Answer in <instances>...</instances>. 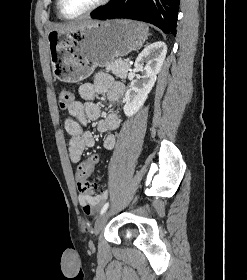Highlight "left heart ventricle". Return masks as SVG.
<instances>
[{"label":"left heart ventricle","mask_w":247,"mask_h":280,"mask_svg":"<svg viewBox=\"0 0 247 280\" xmlns=\"http://www.w3.org/2000/svg\"><path fill=\"white\" fill-rule=\"evenodd\" d=\"M99 0H63V9L67 15H78L91 6H93Z\"/></svg>","instance_id":"b2bd125f"}]
</instances>
